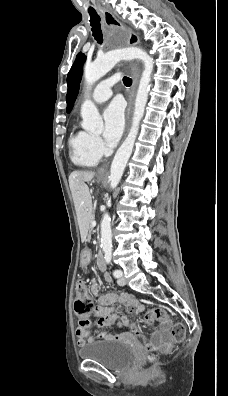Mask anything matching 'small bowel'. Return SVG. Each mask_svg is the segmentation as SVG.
<instances>
[{
	"label": "small bowel",
	"instance_id": "obj_1",
	"mask_svg": "<svg viewBox=\"0 0 228 396\" xmlns=\"http://www.w3.org/2000/svg\"><path fill=\"white\" fill-rule=\"evenodd\" d=\"M81 262L86 266L90 262V253L88 251L83 252ZM104 280L107 283H111L112 279L110 275L105 274ZM90 291L97 297L98 305L94 308L92 314L99 317V327L104 328L103 332H98L95 329L79 328L77 329L78 345L83 346L87 342L93 343L100 340L110 339H133L139 338L146 346L150 349L167 353L172 348V342L167 336L165 329L162 331H156L153 333L150 339L143 336L138 330L137 325L132 322L127 316L121 317V323L123 326L130 329V332L112 334L113 324L117 319L116 314L113 311V305L118 303L125 306L129 311L142 313L144 308L138 301L127 293L111 292L105 295H100L99 285L95 278L91 279Z\"/></svg>",
	"mask_w": 228,
	"mask_h": 396
}]
</instances>
